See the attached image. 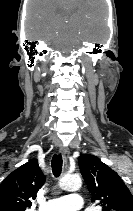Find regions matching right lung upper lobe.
<instances>
[{
	"instance_id": "right-lung-upper-lobe-1",
	"label": "right lung upper lobe",
	"mask_w": 133,
	"mask_h": 211,
	"mask_svg": "<svg viewBox=\"0 0 133 211\" xmlns=\"http://www.w3.org/2000/svg\"><path fill=\"white\" fill-rule=\"evenodd\" d=\"M45 179L36 159L14 170L0 185V211H24L31 207L30 199H35Z\"/></svg>"
}]
</instances>
